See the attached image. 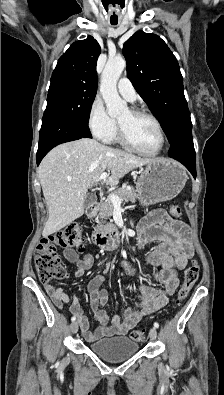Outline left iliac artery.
<instances>
[{"label": "left iliac artery", "instance_id": "left-iliac-artery-1", "mask_svg": "<svg viewBox=\"0 0 224 395\" xmlns=\"http://www.w3.org/2000/svg\"><path fill=\"white\" fill-rule=\"evenodd\" d=\"M155 328H159V324L157 322L154 323Z\"/></svg>", "mask_w": 224, "mask_h": 395}]
</instances>
